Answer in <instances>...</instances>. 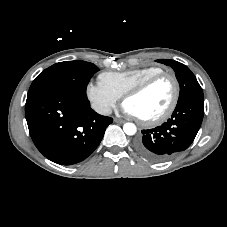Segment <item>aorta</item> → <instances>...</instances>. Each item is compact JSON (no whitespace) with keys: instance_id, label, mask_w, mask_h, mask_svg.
I'll return each mask as SVG.
<instances>
[{"instance_id":"1","label":"aorta","mask_w":227,"mask_h":227,"mask_svg":"<svg viewBox=\"0 0 227 227\" xmlns=\"http://www.w3.org/2000/svg\"><path fill=\"white\" fill-rule=\"evenodd\" d=\"M123 130H124L125 134L130 135V136L136 134V132H137V128H136L135 124L130 123V122H127L123 125Z\"/></svg>"}]
</instances>
